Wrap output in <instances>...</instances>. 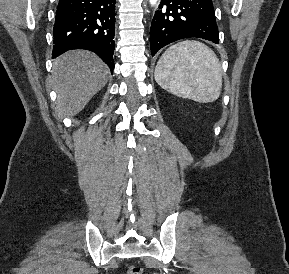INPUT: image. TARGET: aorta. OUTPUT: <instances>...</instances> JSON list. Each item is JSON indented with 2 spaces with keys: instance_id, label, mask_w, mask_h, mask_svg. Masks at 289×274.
I'll return each mask as SVG.
<instances>
[{
  "instance_id": "762f6f07",
  "label": "aorta",
  "mask_w": 289,
  "mask_h": 274,
  "mask_svg": "<svg viewBox=\"0 0 289 274\" xmlns=\"http://www.w3.org/2000/svg\"><path fill=\"white\" fill-rule=\"evenodd\" d=\"M157 1H158V0H149L150 4H151L152 6L156 5Z\"/></svg>"
}]
</instances>
